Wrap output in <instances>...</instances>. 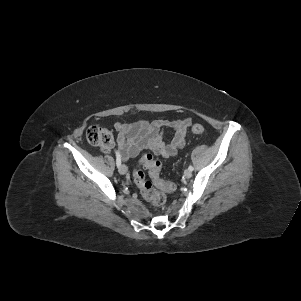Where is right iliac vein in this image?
<instances>
[{
    "instance_id": "obj_1",
    "label": "right iliac vein",
    "mask_w": 301,
    "mask_h": 301,
    "mask_svg": "<svg viewBox=\"0 0 301 301\" xmlns=\"http://www.w3.org/2000/svg\"><path fill=\"white\" fill-rule=\"evenodd\" d=\"M118 169H119V173L122 174V175L126 174L127 171H128L126 165H124V164L120 165V166L118 167Z\"/></svg>"
}]
</instances>
